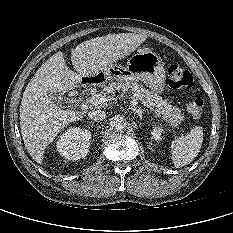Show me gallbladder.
Here are the masks:
<instances>
[{"label":"gallbladder","instance_id":"gallbladder-1","mask_svg":"<svg viewBox=\"0 0 233 233\" xmlns=\"http://www.w3.org/2000/svg\"><path fill=\"white\" fill-rule=\"evenodd\" d=\"M48 96L51 101L55 102L56 104H58L63 108L67 105L68 101L61 93H56V94L49 93Z\"/></svg>","mask_w":233,"mask_h":233}]
</instances>
